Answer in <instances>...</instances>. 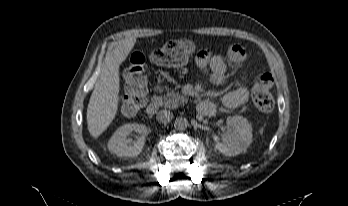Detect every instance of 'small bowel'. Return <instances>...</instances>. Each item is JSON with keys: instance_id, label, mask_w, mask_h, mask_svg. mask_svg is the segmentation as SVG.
<instances>
[{"instance_id": "small-bowel-1", "label": "small bowel", "mask_w": 348, "mask_h": 206, "mask_svg": "<svg viewBox=\"0 0 348 206\" xmlns=\"http://www.w3.org/2000/svg\"><path fill=\"white\" fill-rule=\"evenodd\" d=\"M246 53L239 45L229 46L226 55L211 56L208 50H201L196 58L197 69L202 73H210L211 80L216 85L226 82V72L229 67L238 71H243L246 62ZM247 77L242 76V83L223 95L222 103L228 108H235L244 104L248 99V89L246 86Z\"/></svg>"}]
</instances>
